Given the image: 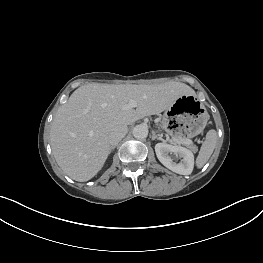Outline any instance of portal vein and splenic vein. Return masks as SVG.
<instances>
[{
    "mask_svg": "<svg viewBox=\"0 0 263 263\" xmlns=\"http://www.w3.org/2000/svg\"><path fill=\"white\" fill-rule=\"evenodd\" d=\"M137 106V103L135 101H130L128 104L124 106V109H131ZM179 143H184V144H193V142L190 139L186 140H176Z\"/></svg>",
    "mask_w": 263,
    "mask_h": 263,
    "instance_id": "18ae733b",
    "label": "portal vein and splenic vein"
}]
</instances>
